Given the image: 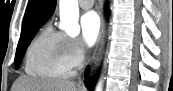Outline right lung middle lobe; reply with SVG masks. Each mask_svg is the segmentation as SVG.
Segmentation results:
<instances>
[{
  "label": "right lung middle lobe",
  "instance_id": "obj_1",
  "mask_svg": "<svg viewBox=\"0 0 173 91\" xmlns=\"http://www.w3.org/2000/svg\"><path fill=\"white\" fill-rule=\"evenodd\" d=\"M41 26H38L32 30L26 31V32H21V36L19 39V43L17 46L16 50V56H15V64L16 67H19V64L21 63L22 57L26 51V48L30 44L32 38L34 37L36 31L40 28Z\"/></svg>",
  "mask_w": 173,
  "mask_h": 91
}]
</instances>
